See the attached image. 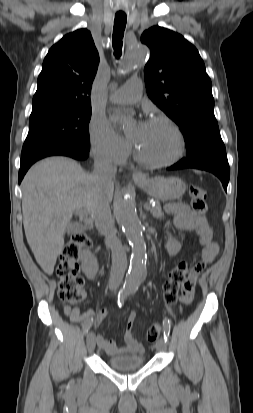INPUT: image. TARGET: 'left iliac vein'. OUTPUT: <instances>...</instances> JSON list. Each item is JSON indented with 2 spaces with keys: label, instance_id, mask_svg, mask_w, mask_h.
I'll use <instances>...</instances> for the list:
<instances>
[{
  "label": "left iliac vein",
  "instance_id": "obj_1",
  "mask_svg": "<svg viewBox=\"0 0 253 413\" xmlns=\"http://www.w3.org/2000/svg\"><path fill=\"white\" fill-rule=\"evenodd\" d=\"M156 349L158 351H164L166 349V342L164 340V338H160L157 342H156Z\"/></svg>",
  "mask_w": 253,
  "mask_h": 413
}]
</instances>
